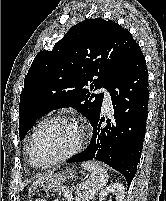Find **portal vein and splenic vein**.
Wrapping results in <instances>:
<instances>
[{
	"label": "portal vein and splenic vein",
	"mask_w": 166,
	"mask_h": 201,
	"mask_svg": "<svg viewBox=\"0 0 166 201\" xmlns=\"http://www.w3.org/2000/svg\"><path fill=\"white\" fill-rule=\"evenodd\" d=\"M64 195H65V197H69L70 196L68 192H65Z\"/></svg>",
	"instance_id": "obj_1"
}]
</instances>
